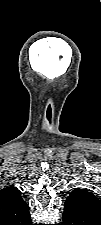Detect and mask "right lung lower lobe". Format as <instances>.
I'll return each mask as SVG.
<instances>
[{"label":"right lung lower lobe","mask_w":101,"mask_h":225,"mask_svg":"<svg viewBox=\"0 0 101 225\" xmlns=\"http://www.w3.org/2000/svg\"><path fill=\"white\" fill-rule=\"evenodd\" d=\"M27 225H32L31 220L29 221V223Z\"/></svg>","instance_id":"right-lung-lower-lobe-1"}]
</instances>
